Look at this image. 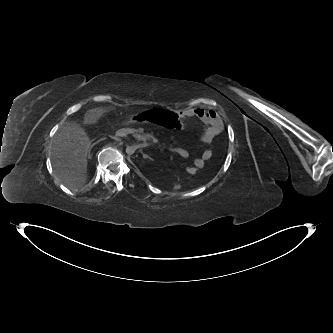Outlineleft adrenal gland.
<instances>
[{
	"label": "left adrenal gland",
	"mask_w": 333,
	"mask_h": 333,
	"mask_svg": "<svg viewBox=\"0 0 333 333\" xmlns=\"http://www.w3.org/2000/svg\"><path fill=\"white\" fill-rule=\"evenodd\" d=\"M143 158H149V159H151L148 155H145V154H143Z\"/></svg>",
	"instance_id": "obj_1"
}]
</instances>
